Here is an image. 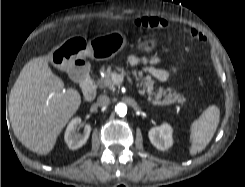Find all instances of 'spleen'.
<instances>
[{"label":"spleen","instance_id":"3e777b00","mask_svg":"<svg viewBox=\"0 0 245 187\" xmlns=\"http://www.w3.org/2000/svg\"><path fill=\"white\" fill-rule=\"evenodd\" d=\"M220 110L217 106H209L190 126L191 156L203 151L211 141L218 127Z\"/></svg>","mask_w":245,"mask_h":187}]
</instances>
